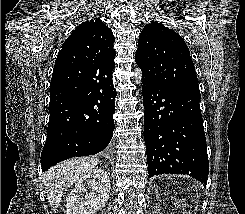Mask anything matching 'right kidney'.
I'll return each instance as SVG.
<instances>
[{
    "mask_svg": "<svg viewBox=\"0 0 245 214\" xmlns=\"http://www.w3.org/2000/svg\"><path fill=\"white\" fill-rule=\"evenodd\" d=\"M109 193L108 173L103 169H92L76 182L69 193L66 214H95L105 207Z\"/></svg>",
    "mask_w": 245,
    "mask_h": 214,
    "instance_id": "ca27d5eb",
    "label": "right kidney"
}]
</instances>
